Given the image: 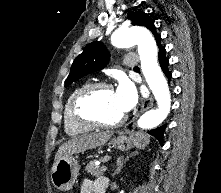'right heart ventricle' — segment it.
Listing matches in <instances>:
<instances>
[{"instance_id":"1","label":"right heart ventricle","mask_w":221,"mask_h":193,"mask_svg":"<svg viewBox=\"0 0 221 193\" xmlns=\"http://www.w3.org/2000/svg\"><path fill=\"white\" fill-rule=\"evenodd\" d=\"M85 84H80L77 87H75L72 92L70 93L67 101H66V105H65V109H64V129L65 132L69 135V136H77V135H81L84 133L89 132L90 130H92V127L89 126H85L82 125L80 123H78L73 114H72V110H71V104H72V100L75 97V95L77 94V92L84 86Z\"/></svg>"}]
</instances>
